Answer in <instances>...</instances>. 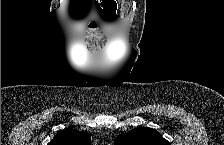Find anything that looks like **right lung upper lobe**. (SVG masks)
<instances>
[{
	"mask_svg": "<svg viewBox=\"0 0 224 145\" xmlns=\"http://www.w3.org/2000/svg\"><path fill=\"white\" fill-rule=\"evenodd\" d=\"M91 137L86 132L74 129L59 131L48 145H90Z\"/></svg>",
	"mask_w": 224,
	"mask_h": 145,
	"instance_id": "obj_1",
	"label": "right lung upper lobe"
}]
</instances>
